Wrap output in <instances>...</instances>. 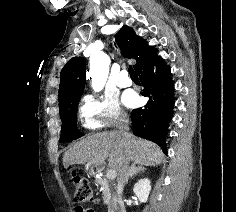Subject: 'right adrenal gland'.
Returning a JSON list of instances; mask_svg holds the SVG:
<instances>
[{
	"instance_id": "obj_1",
	"label": "right adrenal gland",
	"mask_w": 236,
	"mask_h": 212,
	"mask_svg": "<svg viewBox=\"0 0 236 212\" xmlns=\"http://www.w3.org/2000/svg\"><path fill=\"white\" fill-rule=\"evenodd\" d=\"M144 172H145L144 166L140 164L132 163L129 173H128V177L126 179V184L128 183L130 178H133L137 174L144 173Z\"/></svg>"
}]
</instances>
